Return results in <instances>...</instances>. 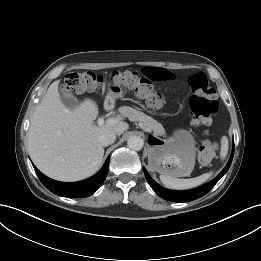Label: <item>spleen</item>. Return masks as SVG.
I'll use <instances>...</instances> for the list:
<instances>
[{
  "label": "spleen",
  "instance_id": "1",
  "mask_svg": "<svg viewBox=\"0 0 261 261\" xmlns=\"http://www.w3.org/2000/svg\"><path fill=\"white\" fill-rule=\"evenodd\" d=\"M228 153V139L227 137H222L221 139V151L220 156L221 158H225ZM211 173H204L198 177L190 178V179H178L171 177L169 175H160L161 182L170 189L176 190H184L197 187L204 183L206 180L210 178Z\"/></svg>",
  "mask_w": 261,
  "mask_h": 261
}]
</instances>
